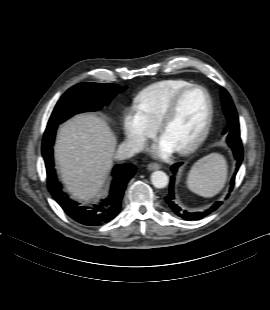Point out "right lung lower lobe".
<instances>
[{
  "label": "right lung lower lobe",
  "instance_id": "98d812e1",
  "mask_svg": "<svg viewBox=\"0 0 270 310\" xmlns=\"http://www.w3.org/2000/svg\"><path fill=\"white\" fill-rule=\"evenodd\" d=\"M58 124H48L42 143V155L47 171V186L52 197L58 202L68 216L78 223L87 226H100L112 220L119 212L121 200L126 189L127 182L135 174V166L132 164L117 165L113 169L114 176L110 195L93 207H82L63 192L62 185L58 182L53 163V143Z\"/></svg>",
  "mask_w": 270,
  "mask_h": 310
}]
</instances>
